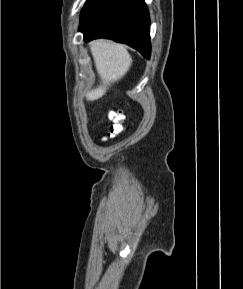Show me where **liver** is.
Returning <instances> with one entry per match:
<instances>
[{"instance_id": "6515ba94", "label": "liver", "mask_w": 243, "mask_h": 289, "mask_svg": "<svg viewBox=\"0 0 243 289\" xmlns=\"http://www.w3.org/2000/svg\"><path fill=\"white\" fill-rule=\"evenodd\" d=\"M101 84L86 94L87 101L104 96L109 87L122 79L132 65V58L122 44L108 40H95L89 43Z\"/></svg>"}]
</instances>
